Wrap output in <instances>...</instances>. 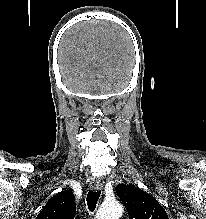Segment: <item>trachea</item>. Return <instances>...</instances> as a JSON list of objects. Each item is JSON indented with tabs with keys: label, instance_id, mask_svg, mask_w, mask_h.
Here are the masks:
<instances>
[{
	"label": "trachea",
	"instance_id": "trachea-1",
	"mask_svg": "<svg viewBox=\"0 0 206 219\" xmlns=\"http://www.w3.org/2000/svg\"><path fill=\"white\" fill-rule=\"evenodd\" d=\"M100 194H101L100 190L98 191L89 190L86 200L90 212H93L95 210Z\"/></svg>",
	"mask_w": 206,
	"mask_h": 219
}]
</instances>
